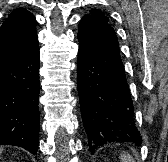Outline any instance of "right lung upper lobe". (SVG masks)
<instances>
[{"label":"right lung upper lobe","instance_id":"obj_1","mask_svg":"<svg viewBox=\"0 0 168 162\" xmlns=\"http://www.w3.org/2000/svg\"><path fill=\"white\" fill-rule=\"evenodd\" d=\"M38 47L36 20L25 8L14 9L0 28V65Z\"/></svg>","mask_w":168,"mask_h":162}]
</instances>
